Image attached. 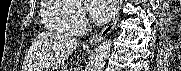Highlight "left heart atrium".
Here are the masks:
<instances>
[{"instance_id": "left-heart-atrium-1", "label": "left heart atrium", "mask_w": 181, "mask_h": 71, "mask_svg": "<svg viewBox=\"0 0 181 71\" xmlns=\"http://www.w3.org/2000/svg\"><path fill=\"white\" fill-rule=\"evenodd\" d=\"M116 0H89L88 9L92 18L98 22L109 20L117 10Z\"/></svg>"}]
</instances>
